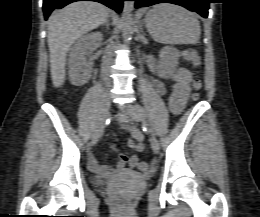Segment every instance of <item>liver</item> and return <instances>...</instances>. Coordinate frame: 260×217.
<instances>
[{"mask_svg": "<svg viewBox=\"0 0 260 217\" xmlns=\"http://www.w3.org/2000/svg\"><path fill=\"white\" fill-rule=\"evenodd\" d=\"M107 8L97 2H74L54 11L48 20V47L50 72L54 87H60L66 78V56L71 45L82 35L104 24Z\"/></svg>", "mask_w": 260, "mask_h": 217, "instance_id": "obj_1", "label": "liver"}]
</instances>
